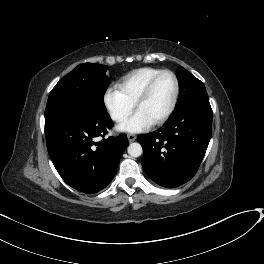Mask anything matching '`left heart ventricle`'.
<instances>
[{"label":"left heart ventricle","mask_w":264,"mask_h":264,"mask_svg":"<svg viewBox=\"0 0 264 264\" xmlns=\"http://www.w3.org/2000/svg\"><path fill=\"white\" fill-rule=\"evenodd\" d=\"M175 90V83L169 74L162 75L147 98L137 108L149 121L154 122L168 109Z\"/></svg>","instance_id":"1"}]
</instances>
